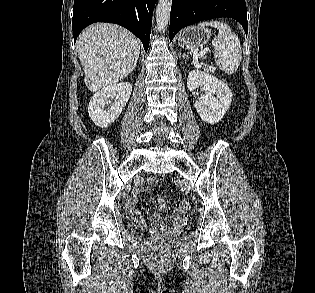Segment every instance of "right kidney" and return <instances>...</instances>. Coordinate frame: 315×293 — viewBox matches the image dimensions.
Masks as SVG:
<instances>
[{
    "label": "right kidney",
    "instance_id": "ca27d5eb",
    "mask_svg": "<svg viewBox=\"0 0 315 293\" xmlns=\"http://www.w3.org/2000/svg\"><path fill=\"white\" fill-rule=\"evenodd\" d=\"M131 92L130 83H118L95 93L88 106V113L94 124L101 128L111 125L121 114ZM110 99H114V102Z\"/></svg>",
    "mask_w": 315,
    "mask_h": 293
}]
</instances>
